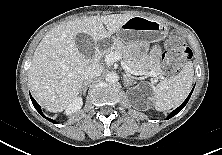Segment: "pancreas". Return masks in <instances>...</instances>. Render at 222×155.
Segmentation results:
<instances>
[{
    "label": "pancreas",
    "mask_w": 222,
    "mask_h": 155,
    "mask_svg": "<svg viewBox=\"0 0 222 155\" xmlns=\"http://www.w3.org/2000/svg\"><path fill=\"white\" fill-rule=\"evenodd\" d=\"M136 46H124L120 42H115L110 49L105 52V56L111 52H117L120 54L125 64L132 70H136L139 67L151 69L159 75H162L161 65L159 62H152L147 57L137 58L134 54Z\"/></svg>",
    "instance_id": "cf45deb5"
}]
</instances>
